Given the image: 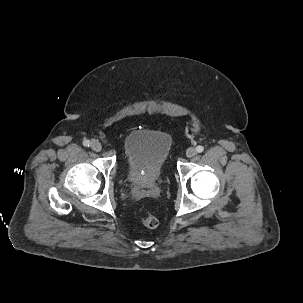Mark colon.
<instances>
[{
  "instance_id": "obj_1",
  "label": "colon",
  "mask_w": 303,
  "mask_h": 303,
  "mask_svg": "<svg viewBox=\"0 0 303 303\" xmlns=\"http://www.w3.org/2000/svg\"><path fill=\"white\" fill-rule=\"evenodd\" d=\"M140 221L147 228H155L159 224L158 218L150 212L143 213L140 216Z\"/></svg>"
}]
</instances>
